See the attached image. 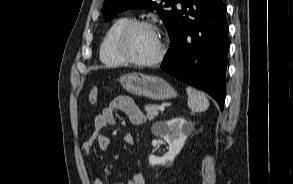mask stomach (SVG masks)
Here are the masks:
<instances>
[{"mask_svg":"<svg viewBox=\"0 0 293 184\" xmlns=\"http://www.w3.org/2000/svg\"><path fill=\"white\" fill-rule=\"evenodd\" d=\"M118 81L133 95L153 100L171 99L177 96L173 87L160 77L133 72L122 75Z\"/></svg>","mask_w":293,"mask_h":184,"instance_id":"1","label":"stomach"}]
</instances>
